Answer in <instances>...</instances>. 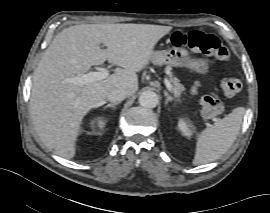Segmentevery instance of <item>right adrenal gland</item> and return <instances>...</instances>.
Instances as JSON below:
<instances>
[{"mask_svg": "<svg viewBox=\"0 0 270 213\" xmlns=\"http://www.w3.org/2000/svg\"><path fill=\"white\" fill-rule=\"evenodd\" d=\"M105 103V102H104ZM119 105V102H116V103H110V104H107L106 106H104V109L106 108H112V109H115V107Z\"/></svg>", "mask_w": 270, "mask_h": 213, "instance_id": "1", "label": "right adrenal gland"}]
</instances>
